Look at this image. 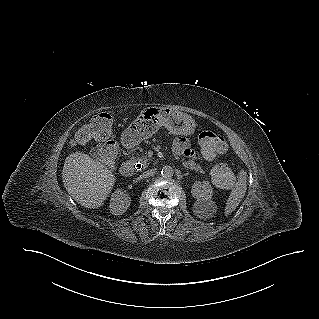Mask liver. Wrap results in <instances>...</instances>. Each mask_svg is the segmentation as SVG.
<instances>
[{
  "label": "liver",
  "mask_w": 319,
  "mask_h": 319,
  "mask_svg": "<svg viewBox=\"0 0 319 319\" xmlns=\"http://www.w3.org/2000/svg\"><path fill=\"white\" fill-rule=\"evenodd\" d=\"M62 179L68 194L81 206L92 209L102 206L116 181L103 163L78 151L65 159Z\"/></svg>",
  "instance_id": "1"
}]
</instances>
